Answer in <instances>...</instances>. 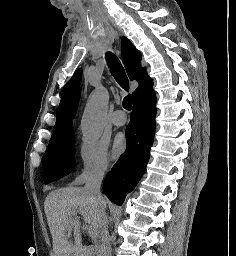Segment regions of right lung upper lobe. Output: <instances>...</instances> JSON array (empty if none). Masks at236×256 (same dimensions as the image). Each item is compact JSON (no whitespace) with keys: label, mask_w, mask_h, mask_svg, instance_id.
<instances>
[{"label":"right lung upper lobe","mask_w":236,"mask_h":256,"mask_svg":"<svg viewBox=\"0 0 236 256\" xmlns=\"http://www.w3.org/2000/svg\"><path fill=\"white\" fill-rule=\"evenodd\" d=\"M122 60L127 74L131 80H137L139 87L132 93L133 101L140 97L153 85L152 79L147 75L145 69L141 67V53L126 38L122 37ZM82 76L81 69L77 70L73 77L65 85L59 108L57 110V119L54 126V133L50 141L58 140L73 133L71 122V107L76 90L80 84Z\"/></svg>","instance_id":"1"}]
</instances>
